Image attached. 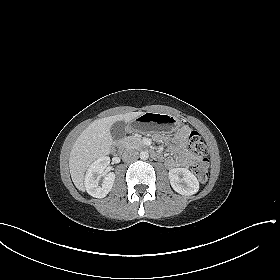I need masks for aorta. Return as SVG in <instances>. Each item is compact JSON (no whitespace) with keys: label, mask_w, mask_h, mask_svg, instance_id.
Here are the masks:
<instances>
[{"label":"aorta","mask_w":280,"mask_h":280,"mask_svg":"<svg viewBox=\"0 0 280 280\" xmlns=\"http://www.w3.org/2000/svg\"><path fill=\"white\" fill-rule=\"evenodd\" d=\"M149 158V153L147 151L140 152V159L147 160Z\"/></svg>","instance_id":"obj_1"}]
</instances>
